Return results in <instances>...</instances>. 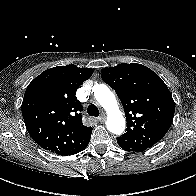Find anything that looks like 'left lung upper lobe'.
Masks as SVG:
<instances>
[{
  "label": "left lung upper lobe",
  "instance_id": "5c2ea615",
  "mask_svg": "<svg viewBox=\"0 0 196 196\" xmlns=\"http://www.w3.org/2000/svg\"><path fill=\"white\" fill-rule=\"evenodd\" d=\"M101 73L102 80L116 91L126 114V132L117 140L137 151H144L161 140L175 112L172 95L162 79L137 63L104 68Z\"/></svg>",
  "mask_w": 196,
  "mask_h": 196
}]
</instances>
